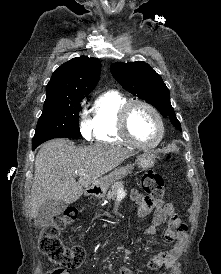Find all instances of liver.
Segmentation results:
<instances>
[{
    "instance_id": "6515ba94",
    "label": "liver",
    "mask_w": 221,
    "mask_h": 274,
    "mask_svg": "<svg viewBox=\"0 0 221 274\" xmlns=\"http://www.w3.org/2000/svg\"><path fill=\"white\" fill-rule=\"evenodd\" d=\"M135 154L133 150L104 144L77 147L65 139L43 144L35 159L29 217L34 218L47 200L74 203L84 188L97 183L102 175ZM78 171L84 174L76 182Z\"/></svg>"
}]
</instances>
